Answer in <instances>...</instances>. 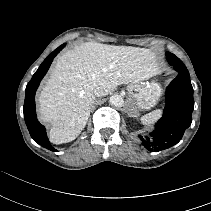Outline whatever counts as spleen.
Returning a JSON list of instances; mask_svg holds the SVG:
<instances>
[{
    "label": "spleen",
    "mask_w": 211,
    "mask_h": 211,
    "mask_svg": "<svg viewBox=\"0 0 211 211\" xmlns=\"http://www.w3.org/2000/svg\"><path fill=\"white\" fill-rule=\"evenodd\" d=\"M162 116V109L154 110L141 117V123L143 125H151L156 122Z\"/></svg>",
    "instance_id": "obj_1"
}]
</instances>
